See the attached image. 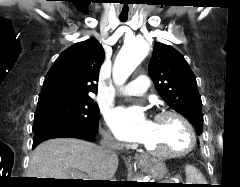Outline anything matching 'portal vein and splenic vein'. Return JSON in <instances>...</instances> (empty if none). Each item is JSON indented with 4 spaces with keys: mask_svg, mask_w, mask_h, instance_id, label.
<instances>
[{
    "mask_svg": "<svg viewBox=\"0 0 240 187\" xmlns=\"http://www.w3.org/2000/svg\"><path fill=\"white\" fill-rule=\"evenodd\" d=\"M78 176H79V178L80 179H82V180H88V178H87V176H85V174H83V173H78Z\"/></svg>",
    "mask_w": 240,
    "mask_h": 187,
    "instance_id": "portal-vein-and-splenic-vein-1",
    "label": "portal vein and splenic vein"
}]
</instances>
